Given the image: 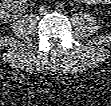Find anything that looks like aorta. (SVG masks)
Here are the masks:
<instances>
[{"label": "aorta", "instance_id": "762f6f07", "mask_svg": "<svg viewBox=\"0 0 111 106\" xmlns=\"http://www.w3.org/2000/svg\"><path fill=\"white\" fill-rule=\"evenodd\" d=\"M56 9L60 10V7H59V6H57V7H56Z\"/></svg>", "mask_w": 111, "mask_h": 106}]
</instances>
